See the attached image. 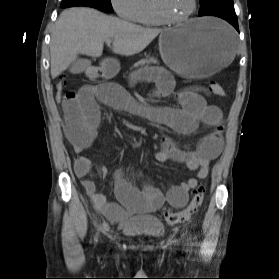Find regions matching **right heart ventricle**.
Wrapping results in <instances>:
<instances>
[{
	"instance_id": "e07e8e85",
	"label": "right heart ventricle",
	"mask_w": 279,
	"mask_h": 279,
	"mask_svg": "<svg viewBox=\"0 0 279 279\" xmlns=\"http://www.w3.org/2000/svg\"><path fill=\"white\" fill-rule=\"evenodd\" d=\"M135 21L145 26H158L162 24V21L155 14L152 0H141L140 11Z\"/></svg>"
}]
</instances>
